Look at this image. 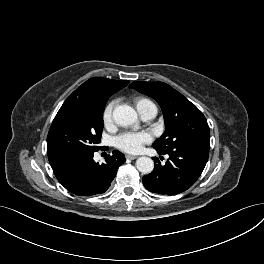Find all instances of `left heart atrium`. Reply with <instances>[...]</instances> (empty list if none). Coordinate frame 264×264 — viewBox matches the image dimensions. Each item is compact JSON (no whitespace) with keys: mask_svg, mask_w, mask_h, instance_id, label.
<instances>
[{"mask_svg":"<svg viewBox=\"0 0 264 264\" xmlns=\"http://www.w3.org/2000/svg\"><path fill=\"white\" fill-rule=\"evenodd\" d=\"M151 136L147 132H124L116 138V146L125 152L135 153L142 146L150 142Z\"/></svg>","mask_w":264,"mask_h":264,"instance_id":"39dd6f15","label":"left heart atrium"}]
</instances>
